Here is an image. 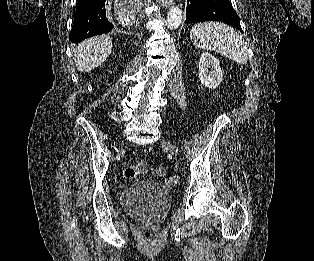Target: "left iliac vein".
Here are the masks:
<instances>
[{
  "instance_id": "obj_1",
  "label": "left iliac vein",
  "mask_w": 314,
  "mask_h": 261,
  "mask_svg": "<svg viewBox=\"0 0 314 261\" xmlns=\"http://www.w3.org/2000/svg\"><path fill=\"white\" fill-rule=\"evenodd\" d=\"M162 146L165 147L170 153L178 155V150L169 142L162 141Z\"/></svg>"
}]
</instances>
